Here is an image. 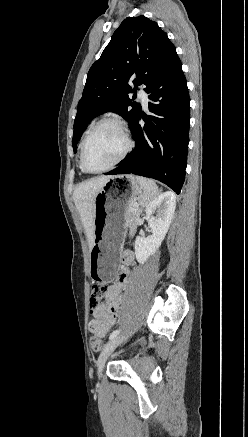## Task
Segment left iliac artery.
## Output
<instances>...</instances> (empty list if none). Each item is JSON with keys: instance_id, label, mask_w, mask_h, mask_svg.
<instances>
[{"instance_id": "left-iliac-artery-1", "label": "left iliac artery", "mask_w": 248, "mask_h": 437, "mask_svg": "<svg viewBox=\"0 0 248 437\" xmlns=\"http://www.w3.org/2000/svg\"><path fill=\"white\" fill-rule=\"evenodd\" d=\"M119 333H120V330H115V331H113V332L110 334L109 339H112V338L116 337Z\"/></svg>"}]
</instances>
